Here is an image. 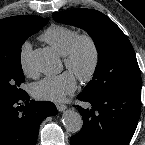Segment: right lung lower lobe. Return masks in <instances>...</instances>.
Masks as SVG:
<instances>
[{"mask_svg": "<svg viewBox=\"0 0 145 145\" xmlns=\"http://www.w3.org/2000/svg\"><path fill=\"white\" fill-rule=\"evenodd\" d=\"M56 114L52 102H35L27 92L17 98H0V145H36L40 123Z\"/></svg>", "mask_w": 145, "mask_h": 145, "instance_id": "obj_1", "label": "right lung lower lobe"}]
</instances>
